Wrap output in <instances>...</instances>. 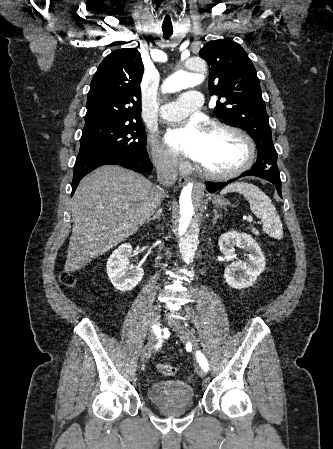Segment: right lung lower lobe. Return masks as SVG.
Returning a JSON list of instances; mask_svg holds the SVG:
<instances>
[{
    "instance_id": "1",
    "label": "right lung lower lobe",
    "mask_w": 333,
    "mask_h": 449,
    "mask_svg": "<svg viewBox=\"0 0 333 449\" xmlns=\"http://www.w3.org/2000/svg\"><path fill=\"white\" fill-rule=\"evenodd\" d=\"M107 164L120 165L136 172H150L153 169L148 155L126 156L118 153L109 154L101 152L78 154L72 181V195L75 192L80 180L85 175L93 171L95 168Z\"/></svg>"
}]
</instances>
